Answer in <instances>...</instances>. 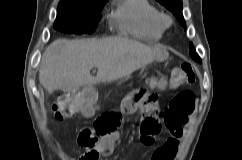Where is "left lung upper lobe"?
I'll list each match as a JSON object with an SVG mask.
<instances>
[{"instance_id":"left-lung-upper-lobe-1","label":"left lung upper lobe","mask_w":242,"mask_h":160,"mask_svg":"<svg viewBox=\"0 0 242 160\" xmlns=\"http://www.w3.org/2000/svg\"><path fill=\"white\" fill-rule=\"evenodd\" d=\"M175 15L182 26H185V21L182 15V1L181 0H157ZM190 56L197 62H201L200 57L196 53L192 43L190 44Z\"/></svg>"}]
</instances>
